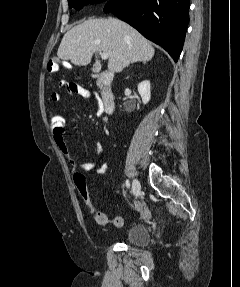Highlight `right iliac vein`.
I'll list each match as a JSON object with an SVG mask.
<instances>
[{
  "label": "right iliac vein",
  "instance_id": "right-iliac-vein-1",
  "mask_svg": "<svg viewBox=\"0 0 240 287\" xmlns=\"http://www.w3.org/2000/svg\"><path fill=\"white\" fill-rule=\"evenodd\" d=\"M132 192L135 196H138L141 193L140 182L137 179H134L132 182Z\"/></svg>",
  "mask_w": 240,
  "mask_h": 287
}]
</instances>
